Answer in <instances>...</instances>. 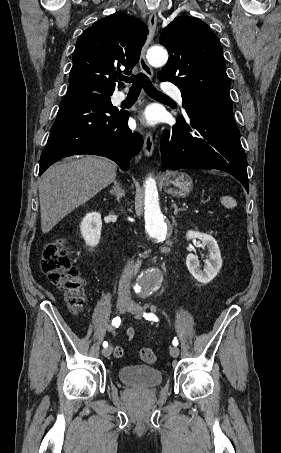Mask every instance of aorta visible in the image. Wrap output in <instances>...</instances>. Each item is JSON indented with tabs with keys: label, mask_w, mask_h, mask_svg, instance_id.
<instances>
[{
	"label": "aorta",
	"mask_w": 281,
	"mask_h": 453,
	"mask_svg": "<svg viewBox=\"0 0 281 453\" xmlns=\"http://www.w3.org/2000/svg\"><path fill=\"white\" fill-rule=\"evenodd\" d=\"M147 60L153 67H162L168 60V53L163 47L154 46L148 50ZM144 205L147 233L158 242L164 241L169 234V228L160 210L156 181L151 176L145 181ZM162 279L158 269H147L138 276L136 290L141 294L152 293L161 285Z\"/></svg>",
	"instance_id": "aorta-1"
}]
</instances>
